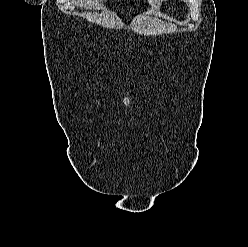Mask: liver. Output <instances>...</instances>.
Segmentation results:
<instances>
[{"label": "liver", "instance_id": "6515ba94", "mask_svg": "<svg viewBox=\"0 0 248 247\" xmlns=\"http://www.w3.org/2000/svg\"><path fill=\"white\" fill-rule=\"evenodd\" d=\"M162 0H148V2L151 4L152 8L155 10H158V7L160 5V2ZM79 7L89 8V7H96L100 0H76Z\"/></svg>", "mask_w": 248, "mask_h": 247}]
</instances>
